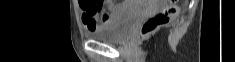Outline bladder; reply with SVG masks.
I'll use <instances>...</instances> for the list:
<instances>
[{
  "label": "bladder",
  "instance_id": "bladder-1",
  "mask_svg": "<svg viewBox=\"0 0 235 62\" xmlns=\"http://www.w3.org/2000/svg\"><path fill=\"white\" fill-rule=\"evenodd\" d=\"M140 9L141 6L138 3L129 1L125 6L116 11L108 22L96 29L89 30L86 36L101 42H121L127 37L134 24L138 21Z\"/></svg>",
  "mask_w": 235,
  "mask_h": 62
}]
</instances>
